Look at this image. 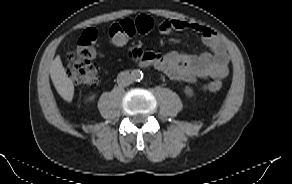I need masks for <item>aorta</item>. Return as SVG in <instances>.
<instances>
[{
	"mask_svg": "<svg viewBox=\"0 0 292 184\" xmlns=\"http://www.w3.org/2000/svg\"><path fill=\"white\" fill-rule=\"evenodd\" d=\"M131 77L133 81H139L143 78V73L140 70H133Z\"/></svg>",
	"mask_w": 292,
	"mask_h": 184,
	"instance_id": "1",
	"label": "aorta"
}]
</instances>
